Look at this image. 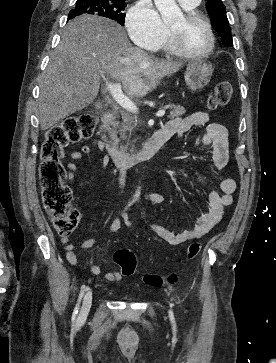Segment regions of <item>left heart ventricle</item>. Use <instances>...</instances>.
I'll return each mask as SVG.
<instances>
[{"label":"left heart ventricle","mask_w":276,"mask_h":363,"mask_svg":"<svg viewBox=\"0 0 276 363\" xmlns=\"http://www.w3.org/2000/svg\"><path fill=\"white\" fill-rule=\"evenodd\" d=\"M174 29L182 45L193 53H202L209 46V35L204 23L194 21L187 23L183 16L170 25Z\"/></svg>","instance_id":"left-heart-ventricle-1"}]
</instances>
